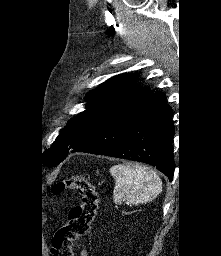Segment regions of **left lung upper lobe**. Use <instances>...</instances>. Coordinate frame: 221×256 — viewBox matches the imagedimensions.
I'll use <instances>...</instances> for the list:
<instances>
[{"label":"left lung upper lobe","instance_id":"obj_1","mask_svg":"<svg viewBox=\"0 0 221 256\" xmlns=\"http://www.w3.org/2000/svg\"><path fill=\"white\" fill-rule=\"evenodd\" d=\"M138 74L114 76L90 91L86 110L72 118L44 153V164L52 167L63 161L69 152L102 129L110 121L138 107L151 92L135 86Z\"/></svg>","mask_w":221,"mask_h":256}]
</instances>
